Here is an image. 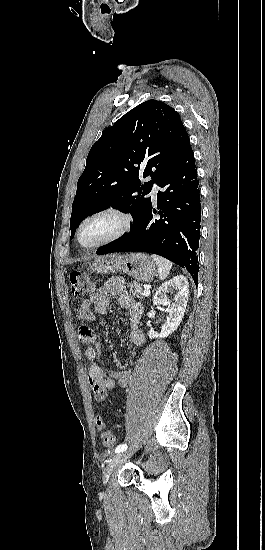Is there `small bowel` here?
<instances>
[{
    "mask_svg": "<svg viewBox=\"0 0 265 550\" xmlns=\"http://www.w3.org/2000/svg\"><path fill=\"white\" fill-rule=\"evenodd\" d=\"M113 297L116 298L118 306L129 317L127 335L130 343L136 346L142 345L144 335L138 328V321L143 313V307L130 296L125 282L120 278L109 279L92 297L82 301L78 311L79 319L92 320V309L100 314L105 313L109 309ZM79 337L84 345L85 358L89 363L90 387L91 383H94L106 395L109 390L126 386L129 380V372L126 369H108L101 364V350L97 343L95 331L89 327H82L79 331ZM91 390L94 395L92 387Z\"/></svg>",
    "mask_w": 265,
    "mask_h": 550,
    "instance_id": "obj_1",
    "label": "small bowel"
}]
</instances>
